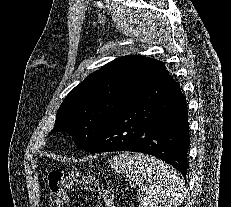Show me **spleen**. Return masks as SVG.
Wrapping results in <instances>:
<instances>
[{"label":"spleen","mask_w":231,"mask_h":207,"mask_svg":"<svg viewBox=\"0 0 231 207\" xmlns=\"http://www.w3.org/2000/svg\"><path fill=\"white\" fill-rule=\"evenodd\" d=\"M110 164L116 173L126 174L139 187L137 197L144 207H177L183 202V180L161 160L123 153L114 156Z\"/></svg>","instance_id":"3e777b00"}]
</instances>
